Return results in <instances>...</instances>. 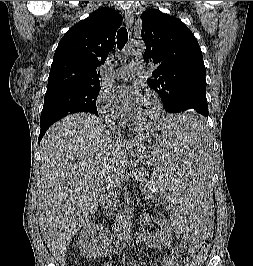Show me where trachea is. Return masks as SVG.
<instances>
[{
    "instance_id": "1",
    "label": "trachea",
    "mask_w": 253,
    "mask_h": 266,
    "mask_svg": "<svg viewBox=\"0 0 253 266\" xmlns=\"http://www.w3.org/2000/svg\"><path fill=\"white\" fill-rule=\"evenodd\" d=\"M128 41V32L125 27H122L117 32V48L122 50Z\"/></svg>"
}]
</instances>
